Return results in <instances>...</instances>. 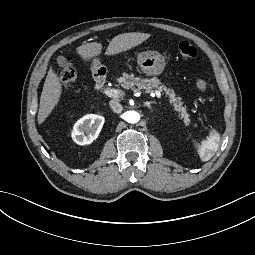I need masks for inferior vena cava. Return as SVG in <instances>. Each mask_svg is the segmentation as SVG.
I'll return each instance as SVG.
<instances>
[{"instance_id": "602c4592", "label": "inferior vena cava", "mask_w": 255, "mask_h": 255, "mask_svg": "<svg viewBox=\"0 0 255 255\" xmlns=\"http://www.w3.org/2000/svg\"><path fill=\"white\" fill-rule=\"evenodd\" d=\"M109 105L115 113H121L123 110L122 105L116 99L111 100Z\"/></svg>"}]
</instances>
